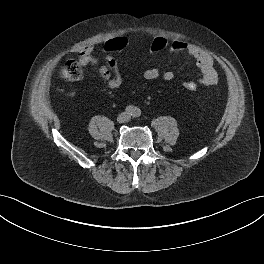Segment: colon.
<instances>
[{"instance_id":"obj_1","label":"colon","mask_w":264,"mask_h":264,"mask_svg":"<svg viewBox=\"0 0 264 264\" xmlns=\"http://www.w3.org/2000/svg\"><path fill=\"white\" fill-rule=\"evenodd\" d=\"M168 45V40L163 36L155 37L150 44V53H159ZM128 46V39L125 36L118 35L108 39L104 44L105 51L109 53L123 51ZM62 75L70 81L79 80L82 77L80 64L75 60H67L62 67ZM187 91H196L198 82L194 79L187 80L182 84Z\"/></svg>"}]
</instances>
